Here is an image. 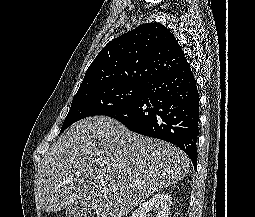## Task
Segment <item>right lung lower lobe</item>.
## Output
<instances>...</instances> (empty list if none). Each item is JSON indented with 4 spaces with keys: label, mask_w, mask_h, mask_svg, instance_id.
I'll return each instance as SVG.
<instances>
[{
    "label": "right lung lower lobe",
    "mask_w": 255,
    "mask_h": 217,
    "mask_svg": "<svg viewBox=\"0 0 255 217\" xmlns=\"http://www.w3.org/2000/svg\"><path fill=\"white\" fill-rule=\"evenodd\" d=\"M105 116L133 132L177 145L196 166L199 93L189 63L155 79L130 105Z\"/></svg>",
    "instance_id": "right-lung-lower-lobe-1"
}]
</instances>
